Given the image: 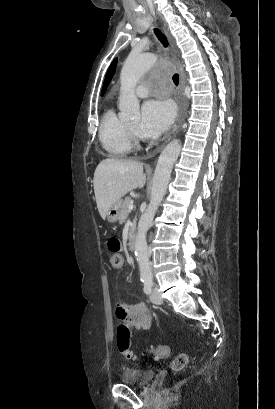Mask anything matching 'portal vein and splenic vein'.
<instances>
[{"label": "portal vein and splenic vein", "mask_w": 275, "mask_h": 409, "mask_svg": "<svg viewBox=\"0 0 275 409\" xmlns=\"http://www.w3.org/2000/svg\"><path fill=\"white\" fill-rule=\"evenodd\" d=\"M128 209H129V211H133V209H134L133 202H131V205H129Z\"/></svg>", "instance_id": "portal-vein-and-splenic-vein-1"}]
</instances>
